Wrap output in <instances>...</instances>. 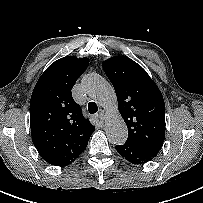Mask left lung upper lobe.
<instances>
[{"label":"left lung upper lobe","mask_w":203,"mask_h":203,"mask_svg":"<svg viewBox=\"0 0 203 203\" xmlns=\"http://www.w3.org/2000/svg\"><path fill=\"white\" fill-rule=\"evenodd\" d=\"M102 66L128 127L126 142L158 153L165 138V103L159 88L139 64L126 56L107 59Z\"/></svg>","instance_id":"obj_1"}]
</instances>
